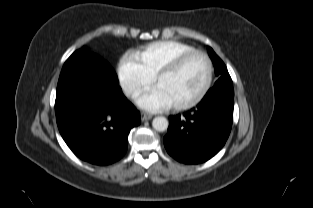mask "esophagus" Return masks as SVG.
<instances>
[{"mask_svg":"<svg viewBox=\"0 0 313 208\" xmlns=\"http://www.w3.org/2000/svg\"><path fill=\"white\" fill-rule=\"evenodd\" d=\"M152 118V115L148 114V113H141V120L142 121H148Z\"/></svg>","mask_w":313,"mask_h":208,"instance_id":"obj_1","label":"esophagus"}]
</instances>
